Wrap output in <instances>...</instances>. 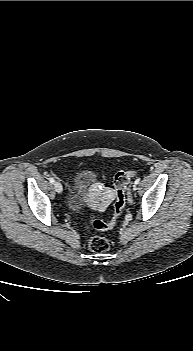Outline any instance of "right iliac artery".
Here are the masks:
<instances>
[{"mask_svg": "<svg viewBox=\"0 0 193 351\" xmlns=\"http://www.w3.org/2000/svg\"><path fill=\"white\" fill-rule=\"evenodd\" d=\"M49 181H50V183H52V184L55 182V180H54L53 178H50Z\"/></svg>", "mask_w": 193, "mask_h": 351, "instance_id": "obj_1", "label": "right iliac artery"}]
</instances>
